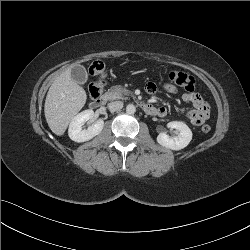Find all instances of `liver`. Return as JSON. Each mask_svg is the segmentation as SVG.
<instances>
[{
    "label": "liver",
    "mask_w": 250,
    "mask_h": 250,
    "mask_svg": "<svg viewBox=\"0 0 250 250\" xmlns=\"http://www.w3.org/2000/svg\"><path fill=\"white\" fill-rule=\"evenodd\" d=\"M87 95L71 77V68L63 71L51 84L44 105L45 118L51 131L61 136L71 119L83 108Z\"/></svg>",
    "instance_id": "liver-1"
}]
</instances>
